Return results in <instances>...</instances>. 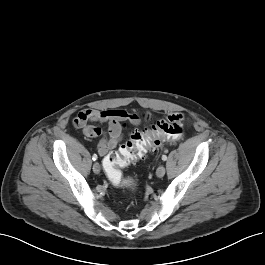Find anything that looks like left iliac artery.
Returning <instances> with one entry per match:
<instances>
[{"mask_svg": "<svg viewBox=\"0 0 265 265\" xmlns=\"http://www.w3.org/2000/svg\"><path fill=\"white\" fill-rule=\"evenodd\" d=\"M162 160H163V161H166V160H167V156H166V155H163V156H162Z\"/></svg>", "mask_w": 265, "mask_h": 265, "instance_id": "1", "label": "left iliac artery"}]
</instances>
